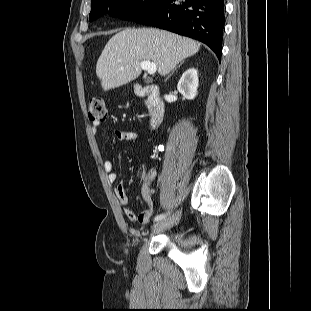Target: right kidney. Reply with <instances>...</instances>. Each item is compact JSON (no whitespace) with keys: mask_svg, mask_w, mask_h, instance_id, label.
<instances>
[{"mask_svg":"<svg viewBox=\"0 0 311 311\" xmlns=\"http://www.w3.org/2000/svg\"><path fill=\"white\" fill-rule=\"evenodd\" d=\"M198 73L194 68L186 70L180 78L177 89L188 100H193L197 95Z\"/></svg>","mask_w":311,"mask_h":311,"instance_id":"obj_1","label":"right kidney"}]
</instances>
